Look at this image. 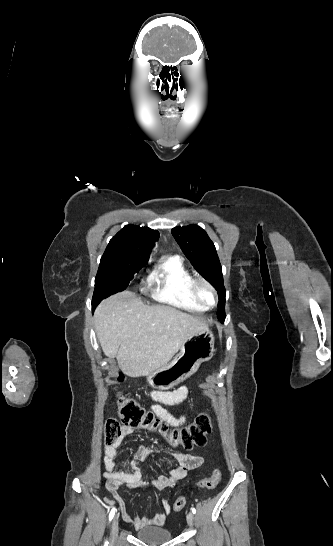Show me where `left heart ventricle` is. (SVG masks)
Segmentation results:
<instances>
[{
	"label": "left heart ventricle",
	"instance_id": "obj_1",
	"mask_svg": "<svg viewBox=\"0 0 333 546\" xmlns=\"http://www.w3.org/2000/svg\"><path fill=\"white\" fill-rule=\"evenodd\" d=\"M198 293L205 302H207L209 304H211L213 302V293L207 287H205L203 285H199L198 286Z\"/></svg>",
	"mask_w": 333,
	"mask_h": 546
}]
</instances>
